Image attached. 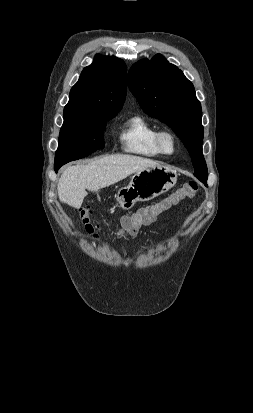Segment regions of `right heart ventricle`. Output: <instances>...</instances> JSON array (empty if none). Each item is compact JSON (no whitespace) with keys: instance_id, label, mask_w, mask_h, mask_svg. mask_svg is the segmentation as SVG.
<instances>
[{"instance_id":"e07e8e85","label":"right heart ventricle","mask_w":253,"mask_h":413,"mask_svg":"<svg viewBox=\"0 0 253 413\" xmlns=\"http://www.w3.org/2000/svg\"><path fill=\"white\" fill-rule=\"evenodd\" d=\"M156 124L144 116L136 115L126 120L119 131V142L124 152L143 157H157L161 153L155 137Z\"/></svg>"}]
</instances>
